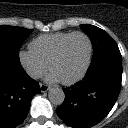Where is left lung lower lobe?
Instances as JSON below:
<instances>
[{
  "label": "left lung lower lobe",
  "instance_id": "left-lung-lower-lobe-1",
  "mask_svg": "<svg viewBox=\"0 0 128 128\" xmlns=\"http://www.w3.org/2000/svg\"><path fill=\"white\" fill-rule=\"evenodd\" d=\"M122 56L107 52L92 59L82 81L63 89L64 102L57 115L73 128H90L110 112L121 88Z\"/></svg>",
  "mask_w": 128,
  "mask_h": 128
}]
</instances>
